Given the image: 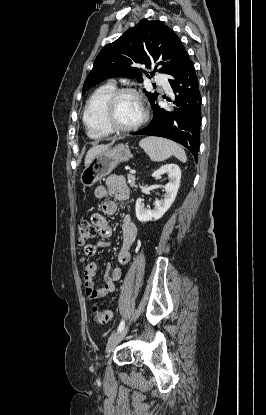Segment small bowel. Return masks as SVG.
<instances>
[{
    "label": "small bowel",
    "instance_id": "c3829d8e",
    "mask_svg": "<svg viewBox=\"0 0 266 415\" xmlns=\"http://www.w3.org/2000/svg\"><path fill=\"white\" fill-rule=\"evenodd\" d=\"M94 193L99 199L111 196L116 198L122 204L128 198L129 188L122 176H110L105 184L100 185L95 189ZM118 207V203L113 200L105 201L102 205L103 213H94L92 215L91 221L102 238H109L112 236V229L107 220V216L116 214ZM122 235L123 242L118 253V261L120 265H126L130 260V247L137 237V227L127 214H124L122 217ZM106 246H108V244L102 241L96 245L88 244L84 246L81 261H84L86 257L93 256L98 247ZM96 271L97 264L95 262L87 263L83 270L85 294L91 300L102 298L107 294L115 292L116 282L122 277V269L120 267L114 268L111 265H107L104 275V284L101 287H95L94 276Z\"/></svg>",
    "mask_w": 266,
    "mask_h": 415
}]
</instances>
